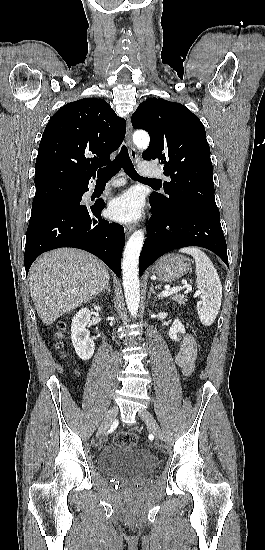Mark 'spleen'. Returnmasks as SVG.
<instances>
[{
	"instance_id": "3e777b00",
	"label": "spleen",
	"mask_w": 265,
	"mask_h": 550,
	"mask_svg": "<svg viewBox=\"0 0 265 550\" xmlns=\"http://www.w3.org/2000/svg\"><path fill=\"white\" fill-rule=\"evenodd\" d=\"M190 254L196 263V285L202 294L197 302L200 321L205 326L214 323L222 301V284L219 275L209 257L197 247H185L179 250Z\"/></svg>"
}]
</instances>
